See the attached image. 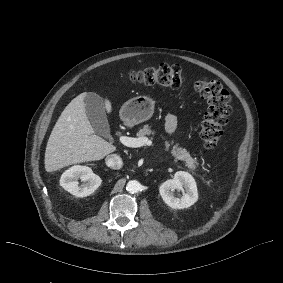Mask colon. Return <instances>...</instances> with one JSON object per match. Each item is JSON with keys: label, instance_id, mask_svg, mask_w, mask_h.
<instances>
[{"label": "colon", "instance_id": "obj_1", "mask_svg": "<svg viewBox=\"0 0 283 283\" xmlns=\"http://www.w3.org/2000/svg\"><path fill=\"white\" fill-rule=\"evenodd\" d=\"M126 78L136 84L179 88L184 78L178 65L156 64L131 71ZM194 89L206 101V111L200 126V137L204 146L215 149L222 137V128L231 112L230 94L220 82L203 77L194 83Z\"/></svg>", "mask_w": 283, "mask_h": 283}]
</instances>
